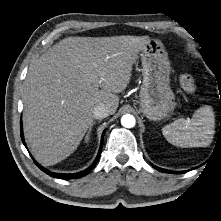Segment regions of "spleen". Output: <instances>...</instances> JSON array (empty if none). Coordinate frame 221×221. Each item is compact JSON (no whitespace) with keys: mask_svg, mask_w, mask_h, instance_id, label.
Wrapping results in <instances>:
<instances>
[{"mask_svg":"<svg viewBox=\"0 0 221 221\" xmlns=\"http://www.w3.org/2000/svg\"><path fill=\"white\" fill-rule=\"evenodd\" d=\"M215 127L214 113L210 106L195 111L192 118H180L162 128V134L172 145L182 148L205 147L213 138Z\"/></svg>","mask_w":221,"mask_h":221,"instance_id":"spleen-1","label":"spleen"}]
</instances>
